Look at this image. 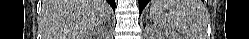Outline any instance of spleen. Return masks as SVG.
<instances>
[{
    "mask_svg": "<svg viewBox=\"0 0 249 39\" xmlns=\"http://www.w3.org/2000/svg\"><path fill=\"white\" fill-rule=\"evenodd\" d=\"M150 16L164 33L178 39H205L209 14L201 0H152Z\"/></svg>",
    "mask_w": 249,
    "mask_h": 39,
    "instance_id": "3e777b00",
    "label": "spleen"
}]
</instances>
